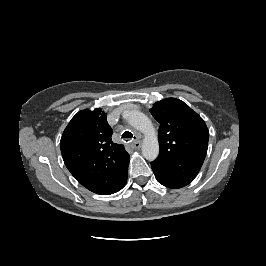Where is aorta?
I'll return each instance as SVG.
<instances>
[{"instance_id": "aorta-1", "label": "aorta", "mask_w": 266, "mask_h": 266, "mask_svg": "<svg viewBox=\"0 0 266 266\" xmlns=\"http://www.w3.org/2000/svg\"><path fill=\"white\" fill-rule=\"evenodd\" d=\"M129 124L144 134L142 155L145 159L153 161L159 154V142L151 120L142 112L129 111L127 114Z\"/></svg>"}]
</instances>
